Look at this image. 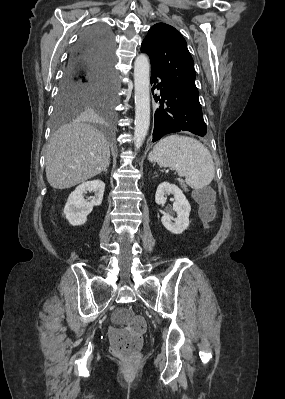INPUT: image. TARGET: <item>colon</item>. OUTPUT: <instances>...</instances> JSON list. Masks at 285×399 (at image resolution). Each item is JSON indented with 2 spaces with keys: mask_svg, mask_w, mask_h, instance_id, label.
Returning <instances> with one entry per match:
<instances>
[{
  "mask_svg": "<svg viewBox=\"0 0 285 399\" xmlns=\"http://www.w3.org/2000/svg\"><path fill=\"white\" fill-rule=\"evenodd\" d=\"M194 196L201 204L202 220L209 223L214 217L212 194L206 188L197 190ZM144 330V320L140 317L131 316L125 325L110 331L111 351L123 359L135 357L142 346Z\"/></svg>",
  "mask_w": 285,
  "mask_h": 399,
  "instance_id": "1",
  "label": "colon"
}]
</instances>
